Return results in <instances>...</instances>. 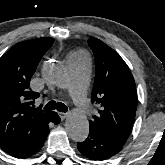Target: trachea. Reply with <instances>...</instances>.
<instances>
[{"label":"trachea","instance_id":"1","mask_svg":"<svg viewBox=\"0 0 165 165\" xmlns=\"http://www.w3.org/2000/svg\"><path fill=\"white\" fill-rule=\"evenodd\" d=\"M55 109H57L60 112L68 111V108L65 104L61 102H55L54 100L49 101L44 107V110H55Z\"/></svg>","mask_w":165,"mask_h":165}]
</instances>
